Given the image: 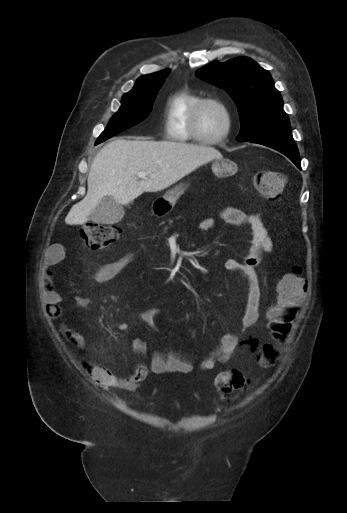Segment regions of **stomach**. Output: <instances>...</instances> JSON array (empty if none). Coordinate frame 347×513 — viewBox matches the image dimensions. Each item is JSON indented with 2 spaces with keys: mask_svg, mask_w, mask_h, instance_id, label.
<instances>
[{
  "mask_svg": "<svg viewBox=\"0 0 347 513\" xmlns=\"http://www.w3.org/2000/svg\"><path fill=\"white\" fill-rule=\"evenodd\" d=\"M211 169L216 176L227 177L232 175L237 170V165L235 162L229 159H219L215 160L212 163ZM186 188L187 185H185L184 183H180L179 185H176L174 188L168 190L162 197V200L164 201V203H167L166 205L170 207V209H172L176 203V200L179 198L181 194L184 193ZM156 213H158V211H156Z\"/></svg>",
  "mask_w": 347,
  "mask_h": 513,
  "instance_id": "0dacf381",
  "label": "stomach"
}]
</instances>
